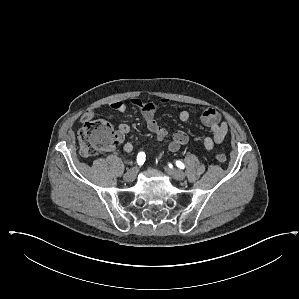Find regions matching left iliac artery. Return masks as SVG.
<instances>
[{
    "label": "left iliac artery",
    "mask_w": 299,
    "mask_h": 299,
    "mask_svg": "<svg viewBox=\"0 0 299 299\" xmlns=\"http://www.w3.org/2000/svg\"><path fill=\"white\" fill-rule=\"evenodd\" d=\"M176 165H177V167H179L180 169H184V168H185L184 164H183L181 161H176Z\"/></svg>",
    "instance_id": "1"
}]
</instances>
